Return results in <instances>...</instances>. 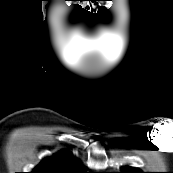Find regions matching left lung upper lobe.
Instances as JSON below:
<instances>
[{"instance_id":"obj_1","label":"left lung upper lobe","mask_w":173,"mask_h":173,"mask_svg":"<svg viewBox=\"0 0 173 173\" xmlns=\"http://www.w3.org/2000/svg\"><path fill=\"white\" fill-rule=\"evenodd\" d=\"M120 173H143V172H141L139 169H136L133 167H126Z\"/></svg>"}]
</instances>
